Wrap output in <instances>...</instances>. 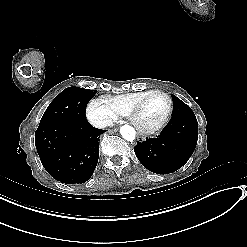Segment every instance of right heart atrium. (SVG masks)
Here are the masks:
<instances>
[{
    "label": "right heart atrium",
    "instance_id": "d8ad5b80",
    "mask_svg": "<svg viewBox=\"0 0 247 247\" xmlns=\"http://www.w3.org/2000/svg\"><path fill=\"white\" fill-rule=\"evenodd\" d=\"M86 116L94 126L105 127L113 122L114 109L103 98H92L87 104Z\"/></svg>",
    "mask_w": 247,
    "mask_h": 247
}]
</instances>
